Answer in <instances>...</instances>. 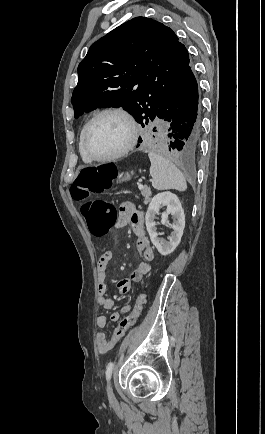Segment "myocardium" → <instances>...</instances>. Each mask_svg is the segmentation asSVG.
I'll return each mask as SVG.
<instances>
[{"label":"myocardium","instance_id":"myocardium-1","mask_svg":"<svg viewBox=\"0 0 265 434\" xmlns=\"http://www.w3.org/2000/svg\"><path fill=\"white\" fill-rule=\"evenodd\" d=\"M109 113L119 114L127 120L129 127H130V138H129L127 145L119 152H117L113 155L106 156V157H98V156H95L89 150L88 145H87V140H88V137L91 133V130H92L94 123L100 117H102L103 115L109 114ZM138 135H139V129H138V125H137V122H136L134 116L126 108H124L122 106H109V107L103 108V109L99 110L98 112H96L91 117V119L88 121V123L86 124L84 134L81 137V151H82V154L88 160H90L91 162H94V163H107V162L115 161V160H118V159L125 157L135 148L137 141H138Z\"/></svg>","mask_w":265,"mask_h":434}]
</instances>
